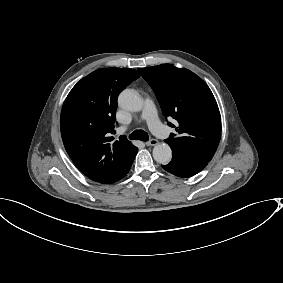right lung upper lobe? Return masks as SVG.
<instances>
[{"instance_id": "obj_1", "label": "right lung upper lobe", "mask_w": 283, "mask_h": 283, "mask_svg": "<svg viewBox=\"0 0 283 283\" xmlns=\"http://www.w3.org/2000/svg\"><path fill=\"white\" fill-rule=\"evenodd\" d=\"M139 76L134 69H98L81 79L63 104L60 127L65 149L93 181H118L138 152L125 137L113 141L110 135L115 132L117 97Z\"/></svg>"}]
</instances>
